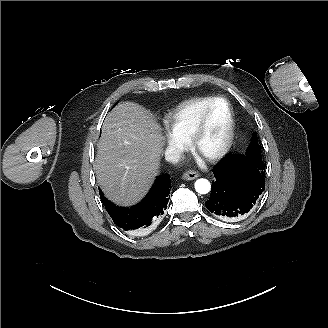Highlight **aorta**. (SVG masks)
<instances>
[{
	"label": "aorta",
	"mask_w": 328,
	"mask_h": 328,
	"mask_svg": "<svg viewBox=\"0 0 328 328\" xmlns=\"http://www.w3.org/2000/svg\"><path fill=\"white\" fill-rule=\"evenodd\" d=\"M195 190L200 194H207L211 190V184L207 179H198L195 182Z\"/></svg>",
	"instance_id": "aorta-1"
}]
</instances>
